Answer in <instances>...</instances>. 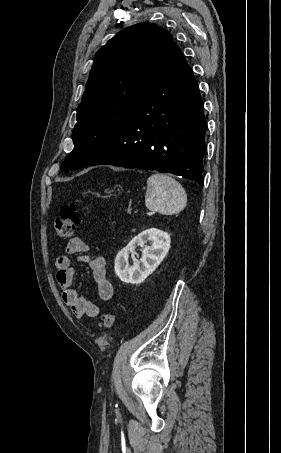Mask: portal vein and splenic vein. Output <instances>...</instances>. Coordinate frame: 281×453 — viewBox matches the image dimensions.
I'll return each mask as SVG.
<instances>
[{"mask_svg": "<svg viewBox=\"0 0 281 453\" xmlns=\"http://www.w3.org/2000/svg\"><path fill=\"white\" fill-rule=\"evenodd\" d=\"M132 212L133 213H138L139 211L138 210H133ZM156 213H157V210H154V211L150 210L147 214H148L149 217H151L152 215H155Z\"/></svg>", "mask_w": 281, "mask_h": 453, "instance_id": "portal-vein-and-splenic-vein-1", "label": "portal vein and splenic vein"}]
</instances>
